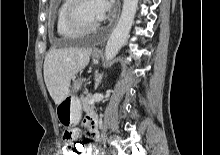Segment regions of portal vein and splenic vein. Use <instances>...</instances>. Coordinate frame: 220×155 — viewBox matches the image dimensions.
Instances as JSON below:
<instances>
[{
	"label": "portal vein and splenic vein",
	"instance_id": "18ae733b",
	"mask_svg": "<svg viewBox=\"0 0 220 155\" xmlns=\"http://www.w3.org/2000/svg\"><path fill=\"white\" fill-rule=\"evenodd\" d=\"M93 103H94V100L91 99V100L89 101V104H93Z\"/></svg>",
	"mask_w": 220,
	"mask_h": 155
}]
</instances>
